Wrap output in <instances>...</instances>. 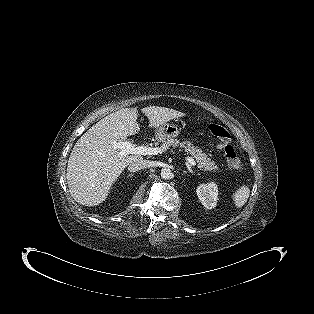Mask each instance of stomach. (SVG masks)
<instances>
[{
    "label": "stomach",
    "mask_w": 314,
    "mask_h": 314,
    "mask_svg": "<svg viewBox=\"0 0 314 314\" xmlns=\"http://www.w3.org/2000/svg\"><path fill=\"white\" fill-rule=\"evenodd\" d=\"M179 135V129L177 126L169 123H165L155 128V136L159 141L175 138Z\"/></svg>",
    "instance_id": "obj_1"
}]
</instances>
